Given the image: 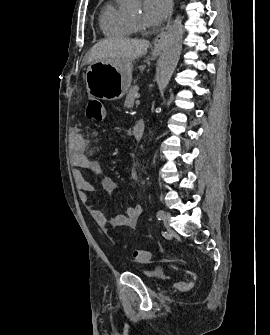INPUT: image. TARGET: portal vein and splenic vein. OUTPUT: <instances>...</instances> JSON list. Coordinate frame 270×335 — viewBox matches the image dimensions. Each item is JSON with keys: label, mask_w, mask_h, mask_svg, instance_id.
I'll list each match as a JSON object with an SVG mask.
<instances>
[{"label": "portal vein and splenic vein", "mask_w": 270, "mask_h": 335, "mask_svg": "<svg viewBox=\"0 0 270 335\" xmlns=\"http://www.w3.org/2000/svg\"><path fill=\"white\" fill-rule=\"evenodd\" d=\"M135 103L138 105L140 103V100H137Z\"/></svg>", "instance_id": "18ae733b"}]
</instances>
